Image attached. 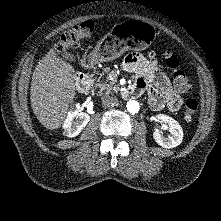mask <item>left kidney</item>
<instances>
[{"mask_svg": "<svg viewBox=\"0 0 221 221\" xmlns=\"http://www.w3.org/2000/svg\"><path fill=\"white\" fill-rule=\"evenodd\" d=\"M156 119L161 122L168 125V131L170 132V135L164 136L162 132L155 131L153 133V137L157 144L162 146L163 148H174L181 144L183 139V130L180 124L173 119L172 117H169L164 114H159L156 116Z\"/></svg>", "mask_w": 221, "mask_h": 221, "instance_id": "left-kidney-1", "label": "left kidney"}]
</instances>
